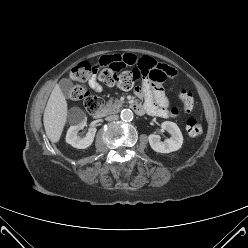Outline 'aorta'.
<instances>
[{
    "label": "aorta",
    "mask_w": 248,
    "mask_h": 248,
    "mask_svg": "<svg viewBox=\"0 0 248 248\" xmlns=\"http://www.w3.org/2000/svg\"><path fill=\"white\" fill-rule=\"evenodd\" d=\"M121 119L123 121H131L133 119V112L130 109H123L121 111Z\"/></svg>",
    "instance_id": "1"
}]
</instances>
